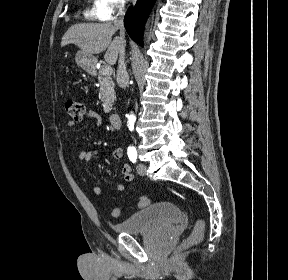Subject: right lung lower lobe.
Wrapping results in <instances>:
<instances>
[{
    "instance_id": "obj_1",
    "label": "right lung lower lobe",
    "mask_w": 288,
    "mask_h": 280,
    "mask_svg": "<svg viewBox=\"0 0 288 280\" xmlns=\"http://www.w3.org/2000/svg\"><path fill=\"white\" fill-rule=\"evenodd\" d=\"M155 0H138L135 7L130 6L125 18L124 25L129 36L139 45H143V28Z\"/></svg>"
}]
</instances>
